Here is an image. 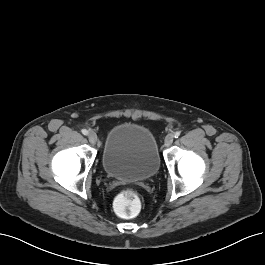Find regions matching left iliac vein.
<instances>
[{
    "mask_svg": "<svg viewBox=\"0 0 265 265\" xmlns=\"http://www.w3.org/2000/svg\"><path fill=\"white\" fill-rule=\"evenodd\" d=\"M173 140H174V135L173 134H168L165 137V140H164L165 146H170L172 144Z\"/></svg>",
    "mask_w": 265,
    "mask_h": 265,
    "instance_id": "left-iliac-vein-1",
    "label": "left iliac vein"
}]
</instances>
